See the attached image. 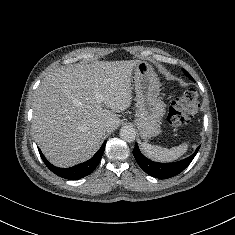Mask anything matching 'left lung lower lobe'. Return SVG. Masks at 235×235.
Masks as SVG:
<instances>
[{"instance_id": "1", "label": "left lung lower lobe", "mask_w": 235, "mask_h": 235, "mask_svg": "<svg viewBox=\"0 0 235 235\" xmlns=\"http://www.w3.org/2000/svg\"><path fill=\"white\" fill-rule=\"evenodd\" d=\"M199 148L200 146L197 147L196 151L188 158L174 163H157L149 160L140 152L137 144L133 150V155L139 166L147 174L156 178L166 179L182 172L191 163Z\"/></svg>"}]
</instances>
